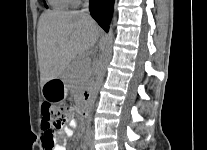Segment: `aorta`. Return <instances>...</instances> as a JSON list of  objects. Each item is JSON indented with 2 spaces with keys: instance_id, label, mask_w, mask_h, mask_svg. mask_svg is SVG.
<instances>
[{
  "instance_id": "1",
  "label": "aorta",
  "mask_w": 207,
  "mask_h": 150,
  "mask_svg": "<svg viewBox=\"0 0 207 150\" xmlns=\"http://www.w3.org/2000/svg\"><path fill=\"white\" fill-rule=\"evenodd\" d=\"M112 43H113V30H112V26H110L109 32L105 37L103 50H102L100 60L98 62V67L96 70L95 81L92 86V100L93 101L96 100L99 90L103 84V79H104L105 72H106V66L111 57Z\"/></svg>"
}]
</instances>
